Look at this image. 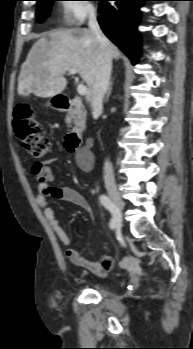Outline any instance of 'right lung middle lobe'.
<instances>
[{
	"label": "right lung middle lobe",
	"instance_id": "obj_1",
	"mask_svg": "<svg viewBox=\"0 0 193 349\" xmlns=\"http://www.w3.org/2000/svg\"><path fill=\"white\" fill-rule=\"evenodd\" d=\"M56 0H37L38 2V22H44L45 19L48 17L52 4Z\"/></svg>",
	"mask_w": 193,
	"mask_h": 349
}]
</instances>
